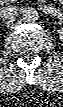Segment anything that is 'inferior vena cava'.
<instances>
[{
  "label": "inferior vena cava",
  "instance_id": "inferior-vena-cava-1",
  "mask_svg": "<svg viewBox=\"0 0 63 107\" xmlns=\"http://www.w3.org/2000/svg\"><path fill=\"white\" fill-rule=\"evenodd\" d=\"M18 13V8L13 5L2 7L0 10V17L3 20H12Z\"/></svg>",
  "mask_w": 63,
  "mask_h": 107
}]
</instances>
